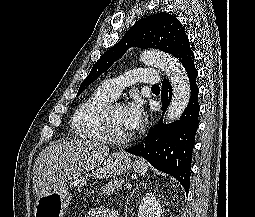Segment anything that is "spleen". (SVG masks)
<instances>
[{
    "label": "spleen",
    "mask_w": 255,
    "mask_h": 217,
    "mask_svg": "<svg viewBox=\"0 0 255 217\" xmlns=\"http://www.w3.org/2000/svg\"><path fill=\"white\" fill-rule=\"evenodd\" d=\"M133 168L138 174L144 175L147 172L148 164L145 161L136 160L133 164Z\"/></svg>",
    "instance_id": "3e777b00"
}]
</instances>
